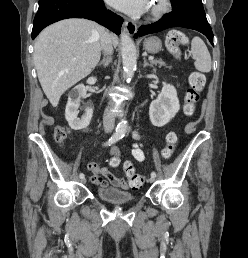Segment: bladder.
<instances>
[{
	"mask_svg": "<svg viewBox=\"0 0 248 258\" xmlns=\"http://www.w3.org/2000/svg\"><path fill=\"white\" fill-rule=\"evenodd\" d=\"M96 194L101 200L113 205H126L135 199L133 193L121 191L112 186L99 187Z\"/></svg>",
	"mask_w": 248,
	"mask_h": 258,
	"instance_id": "1",
	"label": "bladder"
}]
</instances>
